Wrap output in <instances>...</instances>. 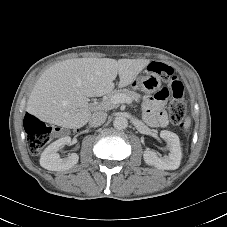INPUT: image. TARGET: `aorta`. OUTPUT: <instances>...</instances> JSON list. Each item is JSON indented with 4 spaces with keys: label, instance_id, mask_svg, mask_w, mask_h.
Here are the masks:
<instances>
[{
    "label": "aorta",
    "instance_id": "obj_1",
    "mask_svg": "<svg viewBox=\"0 0 227 227\" xmlns=\"http://www.w3.org/2000/svg\"><path fill=\"white\" fill-rule=\"evenodd\" d=\"M113 126L119 130L125 129L128 126V120L125 117H116L113 121Z\"/></svg>",
    "mask_w": 227,
    "mask_h": 227
}]
</instances>
